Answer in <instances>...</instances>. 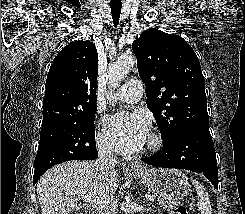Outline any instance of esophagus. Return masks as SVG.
<instances>
[{"label":"esophagus","instance_id":"obj_1","mask_svg":"<svg viewBox=\"0 0 245 214\" xmlns=\"http://www.w3.org/2000/svg\"><path fill=\"white\" fill-rule=\"evenodd\" d=\"M130 166H131V167H139L140 165L137 164V163L131 162V163H130Z\"/></svg>","mask_w":245,"mask_h":214}]
</instances>
